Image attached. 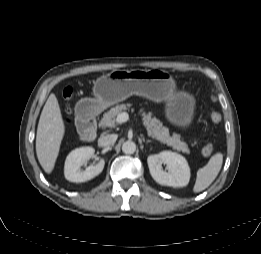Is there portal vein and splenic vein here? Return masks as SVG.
<instances>
[{"label":"portal vein and splenic vein","mask_w":261,"mask_h":254,"mask_svg":"<svg viewBox=\"0 0 261 254\" xmlns=\"http://www.w3.org/2000/svg\"><path fill=\"white\" fill-rule=\"evenodd\" d=\"M129 120V115H128V113H126V112H123V113H120L117 117H116V122L117 123H120V124H122V123H124V122H127Z\"/></svg>","instance_id":"18ae733b"}]
</instances>
